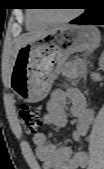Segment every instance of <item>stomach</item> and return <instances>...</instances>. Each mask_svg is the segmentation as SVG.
<instances>
[{
  "label": "stomach",
  "instance_id": "obj_1",
  "mask_svg": "<svg viewBox=\"0 0 104 169\" xmlns=\"http://www.w3.org/2000/svg\"><path fill=\"white\" fill-rule=\"evenodd\" d=\"M100 39V32L93 26L65 25L26 44L17 52L10 88L21 100L41 101L50 92L68 57L96 48Z\"/></svg>",
  "mask_w": 104,
  "mask_h": 169
}]
</instances>
